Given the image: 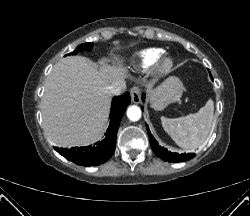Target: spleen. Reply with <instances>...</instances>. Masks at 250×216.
<instances>
[{
  "label": "spleen",
  "mask_w": 250,
  "mask_h": 216,
  "mask_svg": "<svg viewBox=\"0 0 250 216\" xmlns=\"http://www.w3.org/2000/svg\"><path fill=\"white\" fill-rule=\"evenodd\" d=\"M214 120V103L209 99L206 104L194 114L179 118L161 117L164 130L183 149L195 150L201 148L212 129Z\"/></svg>",
  "instance_id": "obj_1"
}]
</instances>
